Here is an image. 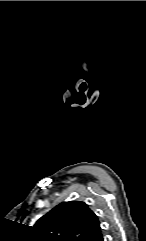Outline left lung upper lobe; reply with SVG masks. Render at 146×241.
<instances>
[{"label":"left lung upper lobe","mask_w":146,"mask_h":241,"mask_svg":"<svg viewBox=\"0 0 146 241\" xmlns=\"http://www.w3.org/2000/svg\"><path fill=\"white\" fill-rule=\"evenodd\" d=\"M100 229L94 212L84 202H63L34 225L39 241H85Z\"/></svg>","instance_id":"obj_1"}]
</instances>
